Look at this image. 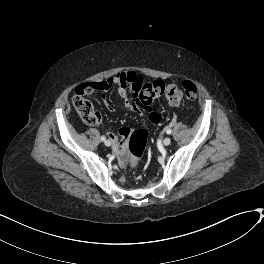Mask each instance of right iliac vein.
<instances>
[{"label": "right iliac vein", "mask_w": 264, "mask_h": 264, "mask_svg": "<svg viewBox=\"0 0 264 264\" xmlns=\"http://www.w3.org/2000/svg\"><path fill=\"white\" fill-rule=\"evenodd\" d=\"M104 144H105V146L109 147V146L111 145V142H110L109 140H106V141L104 142Z\"/></svg>", "instance_id": "1"}]
</instances>
